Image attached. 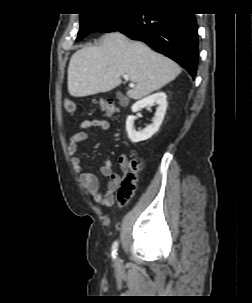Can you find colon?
<instances>
[{"label": "colon", "instance_id": "colon-1", "mask_svg": "<svg viewBox=\"0 0 252 303\" xmlns=\"http://www.w3.org/2000/svg\"><path fill=\"white\" fill-rule=\"evenodd\" d=\"M94 103L107 114H113L116 111L115 105L110 101L96 99ZM64 109L68 113L75 112L76 104L72 98L64 99ZM122 164L124 165L123 178L120 183L118 199L121 203H127L134 196L144 162L141 158L133 157L124 158Z\"/></svg>", "mask_w": 252, "mask_h": 303}]
</instances>
